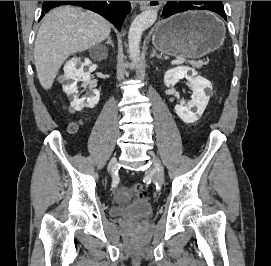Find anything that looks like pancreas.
I'll use <instances>...</instances> for the list:
<instances>
[{"label": "pancreas", "mask_w": 271, "mask_h": 266, "mask_svg": "<svg viewBox=\"0 0 271 266\" xmlns=\"http://www.w3.org/2000/svg\"><path fill=\"white\" fill-rule=\"evenodd\" d=\"M197 68H200L201 66L199 65V66H196Z\"/></svg>", "instance_id": "pancreas-1"}]
</instances>
